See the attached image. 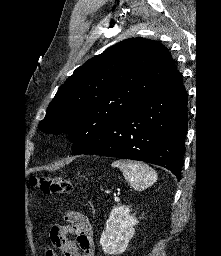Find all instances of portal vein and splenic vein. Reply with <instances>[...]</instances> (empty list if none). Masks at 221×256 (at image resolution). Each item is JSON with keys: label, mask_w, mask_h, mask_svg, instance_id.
<instances>
[{"label": "portal vein and splenic vein", "mask_w": 221, "mask_h": 256, "mask_svg": "<svg viewBox=\"0 0 221 256\" xmlns=\"http://www.w3.org/2000/svg\"><path fill=\"white\" fill-rule=\"evenodd\" d=\"M114 200L117 202L120 201L119 197H117V196L114 197Z\"/></svg>", "instance_id": "1"}]
</instances>
